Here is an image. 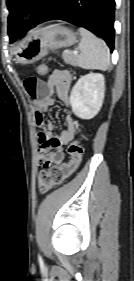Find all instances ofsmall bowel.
Segmentation results:
<instances>
[{"label": "small bowel", "instance_id": "c3829d8e", "mask_svg": "<svg viewBox=\"0 0 134 281\" xmlns=\"http://www.w3.org/2000/svg\"><path fill=\"white\" fill-rule=\"evenodd\" d=\"M71 82V75L63 70H54L46 81L33 76L24 80V87L35 106V122L40 128L38 156L39 164L43 167L62 164L65 159L63 147L73 139L76 132L75 120L67 116L63 131L54 134L53 125L46 116L48 108L55 103L54 95L64 104L69 103Z\"/></svg>", "mask_w": 134, "mask_h": 281}]
</instances>
